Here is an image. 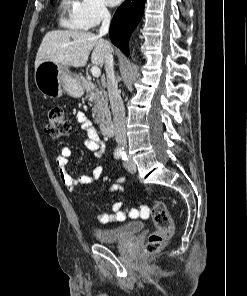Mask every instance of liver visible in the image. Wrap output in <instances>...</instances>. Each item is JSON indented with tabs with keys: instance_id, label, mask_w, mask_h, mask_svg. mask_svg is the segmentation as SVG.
Returning a JSON list of instances; mask_svg holds the SVG:
<instances>
[{
	"instance_id": "6515ba94",
	"label": "liver",
	"mask_w": 247,
	"mask_h": 296,
	"mask_svg": "<svg viewBox=\"0 0 247 296\" xmlns=\"http://www.w3.org/2000/svg\"><path fill=\"white\" fill-rule=\"evenodd\" d=\"M91 51L92 64L102 67L108 46L101 36L74 30L50 31L46 33L38 49L35 69L44 61L64 66L83 67Z\"/></svg>"
}]
</instances>
